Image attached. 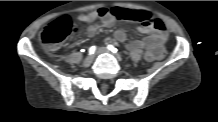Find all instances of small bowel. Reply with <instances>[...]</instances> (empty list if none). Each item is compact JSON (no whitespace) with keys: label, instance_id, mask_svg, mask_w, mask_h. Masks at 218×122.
<instances>
[{"label":"small bowel","instance_id":"1","mask_svg":"<svg viewBox=\"0 0 218 122\" xmlns=\"http://www.w3.org/2000/svg\"><path fill=\"white\" fill-rule=\"evenodd\" d=\"M116 8H98L77 17V20L83 23H90L87 28V35L92 37L99 31L100 26L111 27L117 17L111 12ZM138 32L146 35L142 40H136L129 44V49L132 51L144 50L145 58L148 61H154V54L157 53L158 48H164L168 39V34L165 27L155 28L152 26L141 25L138 27ZM127 36L123 30H117L114 33V40L124 42Z\"/></svg>","mask_w":218,"mask_h":122}]
</instances>
